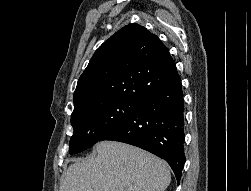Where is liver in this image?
<instances>
[{
	"label": "liver",
	"mask_w": 251,
	"mask_h": 191,
	"mask_svg": "<svg viewBox=\"0 0 251 191\" xmlns=\"http://www.w3.org/2000/svg\"><path fill=\"white\" fill-rule=\"evenodd\" d=\"M94 151L69 165L60 191H165L171 181L166 161L140 147L99 141Z\"/></svg>",
	"instance_id": "6515ba94"
}]
</instances>
